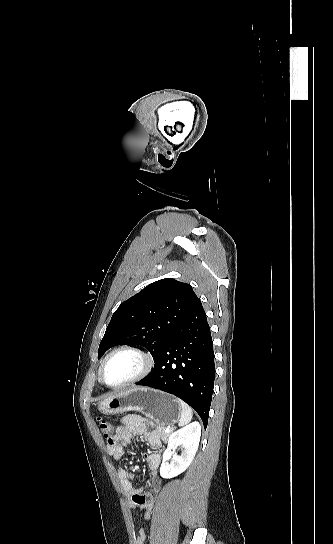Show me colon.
I'll use <instances>...</instances> for the list:
<instances>
[{
	"mask_svg": "<svg viewBox=\"0 0 333 544\" xmlns=\"http://www.w3.org/2000/svg\"><path fill=\"white\" fill-rule=\"evenodd\" d=\"M98 427L105 439L109 440L112 436V428L108 421L98 418L97 419Z\"/></svg>",
	"mask_w": 333,
	"mask_h": 544,
	"instance_id": "colon-1",
	"label": "colon"
}]
</instances>
